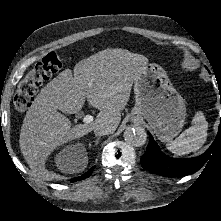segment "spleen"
<instances>
[{"instance_id":"obj_1","label":"spleen","mask_w":221,"mask_h":221,"mask_svg":"<svg viewBox=\"0 0 221 221\" xmlns=\"http://www.w3.org/2000/svg\"><path fill=\"white\" fill-rule=\"evenodd\" d=\"M207 130L208 122L204 113L198 111L192 119V126L182 132L175 140L167 143L166 147L178 156L195 152L206 142Z\"/></svg>"}]
</instances>
